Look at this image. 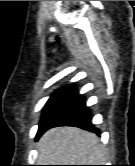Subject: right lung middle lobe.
Returning <instances> with one entry per match:
<instances>
[{"label": "right lung middle lobe", "mask_w": 135, "mask_h": 166, "mask_svg": "<svg viewBox=\"0 0 135 166\" xmlns=\"http://www.w3.org/2000/svg\"><path fill=\"white\" fill-rule=\"evenodd\" d=\"M72 98L73 94L69 89L55 92L44 106L38 132L58 119L67 110Z\"/></svg>", "instance_id": "1"}]
</instances>
